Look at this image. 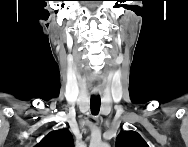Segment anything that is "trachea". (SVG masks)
I'll list each match as a JSON object with an SVG mask.
<instances>
[{
    "label": "trachea",
    "instance_id": "1",
    "mask_svg": "<svg viewBox=\"0 0 188 147\" xmlns=\"http://www.w3.org/2000/svg\"><path fill=\"white\" fill-rule=\"evenodd\" d=\"M100 105H101L100 96L92 95L91 100H90V108H91L92 114H94V115L98 114V112L100 110Z\"/></svg>",
    "mask_w": 188,
    "mask_h": 147
}]
</instances>
